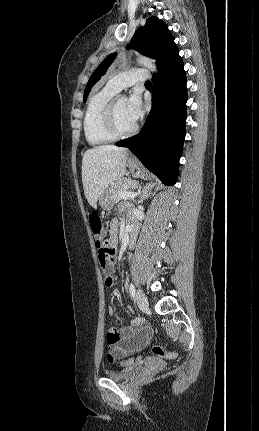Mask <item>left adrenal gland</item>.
Here are the masks:
<instances>
[{
  "instance_id": "a2214340",
  "label": "left adrenal gland",
  "mask_w": 259,
  "mask_h": 431,
  "mask_svg": "<svg viewBox=\"0 0 259 431\" xmlns=\"http://www.w3.org/2000/svg\"><path fill=\"white\" fill-rule=\"evenodd\" d=\"M154 187V185H151L149 188H146L145 190H143L141 198L139 200V203L143 202V200H145L148 196H150L151 194V189Z\"/></svg>"
}]
</instances>
